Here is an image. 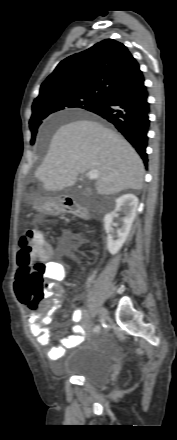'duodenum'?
<instances>
[{
    "instance_id": "obj_1",
    "label": "duodenum",
    "mask_w": 177,
    "mask_h": 440,
    "mask_svg": "<svg viewBox=\"0 0 177 440\" xmlns=\"http://www.w3.org/2000/svg\"><path fill=\"white\" fill-rule=\"evenodd\" d=\"M59 210L65 213H72L81 218H87L86 210L72 199H62L59 205Z\"/></svg>"
}]
</instances>
